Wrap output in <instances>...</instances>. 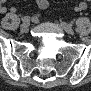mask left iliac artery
I'll return each instance as SVG.
<instances>
[{
  "label": "left iliac artery",
  "instance_id": "1",
  "mask_svg": "<svg viewBox=\"0 0 91 91\" xmlns=\"http://www.w3.org/2000/svg\"><path fill=\"white\" fill-rule=\"evenodd\" d=\"M73 25H74V22H73V21H70V22L67 23V26H68L69 28H72Z\"/></svg>",
  "mask_w": 91,
  "mask_h": 91
}]
</instances>
